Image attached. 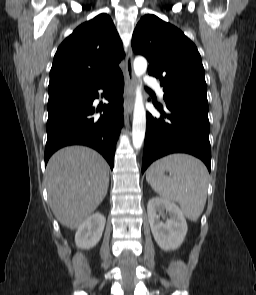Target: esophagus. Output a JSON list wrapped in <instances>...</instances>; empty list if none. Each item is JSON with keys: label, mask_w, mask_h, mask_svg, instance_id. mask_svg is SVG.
<instances>
[{"label": "esophagus", "mask_w": 256, "mask_h": 295, "mask_svg": "<svg viewBox=\"0 0 256 295\" xmlns=\"http://www.w3.org/2000/svg\"><path fill=\"white\" fill-rule=\"evenodd\" d=\"M126 90L124 97V112L129 114L134 106V89H135V76L133 72V52L130 48L126 56Z\"/></svg>", "instance_id": "1"}]
</instances>
